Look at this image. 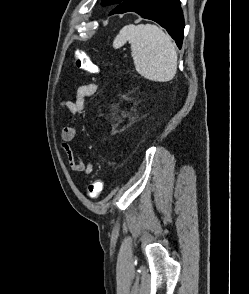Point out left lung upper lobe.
I'll return each mask as SVG.
<instances>
[{
    "instance_id": "obj_1",
    "label": "left lung upper lobe",
    "mask_w": 249,
    "mask_h": 294,
    "mask_svg": "<svg viewBox=\"0 0 249 294\" xmlns=\"http://www.w3.org/2000/svg\"><path fill=\"white\" fill-rule=\"evenodd\" d=\"M123 1L124 0H103L101 4L103 6H106V5L120 4Z\"/></svg>"
}]
</instances>
